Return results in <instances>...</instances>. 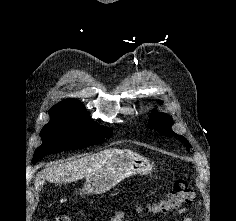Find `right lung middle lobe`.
Listing matches in <instances>:
<instances>
[{
  "label": "right lung middle lobe",
  "mask_w": 236,
  "mask_h": 221,
  "mask_svg": "<svg viewBox=\"0 0 236 221\" xmlns=\"http://www.w3.org/2000/svg\"><path fill=\"white\" fill-rule=\"evenodd\" d=\"M49 115L50 122L40 133L43 143L36 149L33 163L48 154L102 143L112 135V129L98 125L84 111L52 107Z\"/></svg>",
  "instance_id": "1"
}]
</instances>
